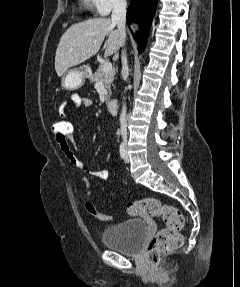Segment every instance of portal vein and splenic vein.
Segmentation results:
<instances>
[{
    "label": "portal vein and splenic vein",
    "mask_w": 240,
    "mask_h": 287,
    "mask_svg": "<svg viewBox=\"0 0 240 287\" xmlns=\"http://www.w3.org/2000/svg\"><path fill=\"white\" fill-rule=\"evenodd\" d=\"M103 70L105 71V72H110V71H112V64L110 63V62H104L103 63Z\"/></svg>",
    "instance_id": "1"
}]
</instances>
